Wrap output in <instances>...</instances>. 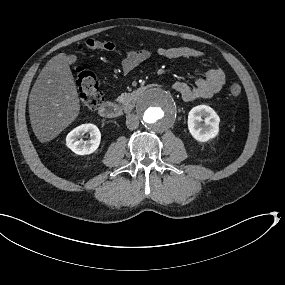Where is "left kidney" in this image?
I'll return each instance as SVG.
<instances>
[{
  "label": "left kidney",
  "mask_w": 285,
  "mask_h": 285,
  "mask_svg": "<svg viewBox=\"0 0 285 285\" xmlns=\"http://www.w3.org/2000/svg\"><path fill=\"white\" fill-rule=\"evenodd\" d=\"M204 118L202 120L201 118ZM205 122V124H201ZM220 117L213 108L199 105L192 108L188 114V130L194 140L206 143L219 134Z\"/></svg>",
  "instance_id": "obj_1"
}]
</instances>
